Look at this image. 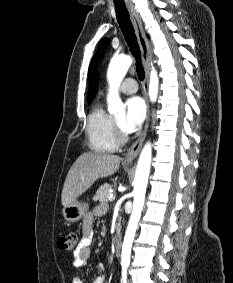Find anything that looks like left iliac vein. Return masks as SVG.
<instances>
[{"label": "left iliac vein", "mask_w": 233, "mask_h": 283, "mask_svg": "<svg viewBox=\"0 0 233 283\" xmlns=\"http://www.w3.org/2000/svg\"><path fill=\"white\" fill-rule=\"evenodd\" d=\"M127 283H132V281L131 280H128V282Z\"/></svg>", "instance_id": "1"}]
</instances>
